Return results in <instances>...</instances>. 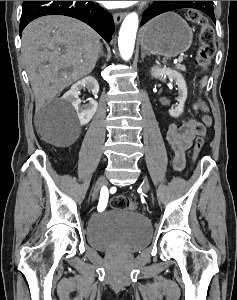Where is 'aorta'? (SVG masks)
I'll return each instance as SVG.
<instances>
[{
  "label": "aorta",
  "instance_id": "1",
  "mask_svg": "<svg viewBox=\"0 0 237 300\" xmlns=\"http://www.w3.org/2000/svg\"><path fill=\"white\" fill-rule=\"evenodd\" d=\"M138 25L139 19L137 13L127 15L121 25L118 47L124 61H129L133 55Z\"/></svg>",
  "mask_w": 237,
  "mask_h": 300
}]
</instances>
